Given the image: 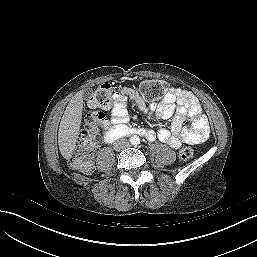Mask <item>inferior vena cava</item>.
Segmentation results:
<instances>
[{"mask_svg": "<svg viewBox=\"0 0 257 257\" xmlns=\"http://www.w3.org/2000/svg\"><path fill=\"white\" fill-rule=\"evenodd\" d=\"M129 145H130L129 142L126 139H119L113 144L114 150L116 151L124 150L128 148Z\"/></svg>", "mask_w": 257, "mask_h": 257, "instance_id": "inferior-vena-cava-1", "label": "inferior vena cava"}]
</instances>
